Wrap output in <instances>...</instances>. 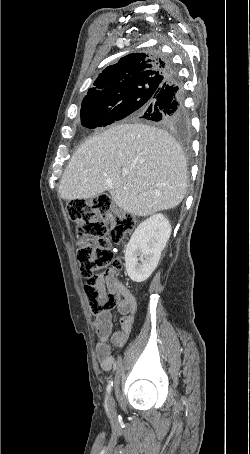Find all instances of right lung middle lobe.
Returning <instances> with one entry per match:
<instances>
[{"mask_svg": "<svg viewBox=\"0 0 250 454\" xmlns=\"http://www.w3.org/2000/svg\"><path fill=\"white\" fill-rule=\"evenodd\" d=\"M159 90L160 85L158 84H146L119 98L82 105L81 125L94 129L128 116L138 117L155 100Z\"/></svg>", "mask_w": 250, "mask_h": 454, "instance_id": "obj_1", "label": "right lung middle lobe"}]
</instances>
